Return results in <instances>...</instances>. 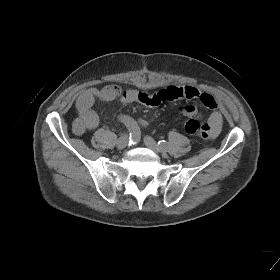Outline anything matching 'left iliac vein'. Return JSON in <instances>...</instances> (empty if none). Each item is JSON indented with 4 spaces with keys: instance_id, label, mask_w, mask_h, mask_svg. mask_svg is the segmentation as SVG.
<instances>
[{
    "instance_id": "1",
    "label": "left iliac vein",
    "mask_w": 280,
    "mask_h": 280,
    "mask_svg": "<svg viewBox=\"0 0 280 280\" xmlns=\"http://www.w3.org/2000/svg\"><path fill=\"white\" fill-rule=\"evenodd\" d=\"M144 143L149 149H151L155 153L164 151V149L160 148L159 145H157V143L155 142V140L150 136L144 137Z\"/></svg>"
}]
</instances>
